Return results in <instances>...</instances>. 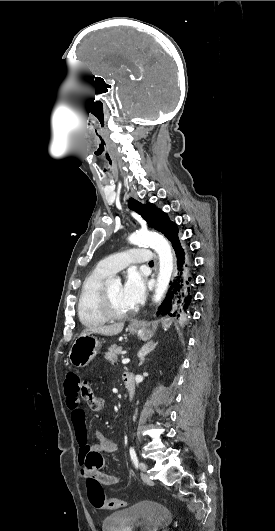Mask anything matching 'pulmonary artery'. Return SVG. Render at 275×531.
Wrapping results in <instances>:
<instances>
[{
    "mask_svg": "<svg viewBox=\"0 0 275 531\" xmlns=\"http://www.w3.org/2000/svg\"><path fill=\"white\" fill-rule=\"evenodd\" d=\"M155 256V251L151 249L139 250L138 247L132 246L125 254H109L106 256L105 261H98L97 270L98 272H108L118 276L121 274L122 269L128 266L127 263L129 261L132 265H147Z\"/></svg>",
    "mask_w": 275,
    "mask_h": 531,
    "instance_id": "1",
    "label": "pulmonary artery"
}]
</instances>
